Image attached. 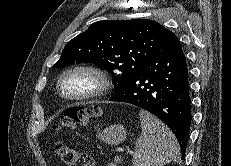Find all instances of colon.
<instances>
[{
	"label": "colon",
	"mask_w": 231,
	"mask_h": 166,
	"mask_svg": "<svg viewBox=\"0 0 231 166\" xmlns=\"http://www.w3.org/2000/svg\"><path fill=\"white\" fill-rule=\"evenodd\" d=\"M101 113L98 107L82 108L74 107L66 110L61 121L57 125V130L72 128L77 124L84 125L91 117ZM57 154L65 166H94V160L87 154H82L67 146L62 142L56 143Z\"/></svg>",
	"instance_id": "obj_1"
}]
</instances>
